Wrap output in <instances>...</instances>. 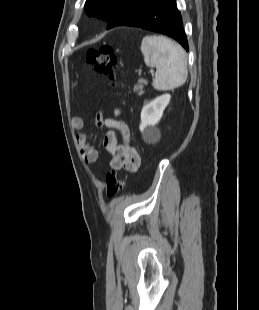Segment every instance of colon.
<instances>
[{"label":"colon","mask_w":259,"mask_h":310,"mask_svg":"<svg viewBox=\"0 0 259 310\" xmlns=\"http://www.w3.org/2000/svg\"><path fill=\"white\" fill-rule=\"evenodd\" d=\"M86 61L95 71L111 79L113 86H116L115 79L118 57L112 46L102 45L98 48L88 49L86 52ZM105 182L108 196L117 194L124 187L123 179L115 171L109 172L105 176Z\"/></svg>","instance_id":"1"}]
</instances>
